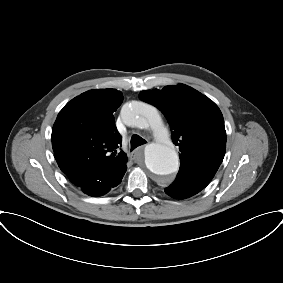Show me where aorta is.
<instances>
[{"instance_id":"762f6f07","label":"aorta","mask_w":283,"mask_h":283,"mask_svg":"<svg viewBox=\"0 0 283 283\" xmlns=\"http://www.w3.org/2000/svg\"><path fill=\"white\" fill-rule=\"evenodd\" d=\"M122 118L130 127L153 130L156 141L145 147V164L152 174L165 177L178 170V154L173 144L161 136L162 118L154 106L143 102L127 104L122 109Z\"/></svg>"}]
</instances>
